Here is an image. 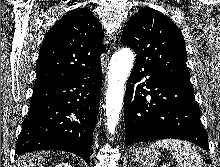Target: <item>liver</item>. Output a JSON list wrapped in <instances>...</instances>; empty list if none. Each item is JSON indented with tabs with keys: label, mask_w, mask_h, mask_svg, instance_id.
<instances>
[{
	"label": "liver",
	"mask_w": 220,
	"mask_h": 167,
	"mask_svg": "<svg viewBox=\"0 0 220 167\" xmlns=\"http://www.w3.org/2000/svg\"><path fill=\"white\" fill-rule=\"evenodd\" d=\"M46 156L45 152L28 153L18 158L15 167H42Z\"/></svg>",
	"instance_id": "6515ba94"
}]
</instances>
